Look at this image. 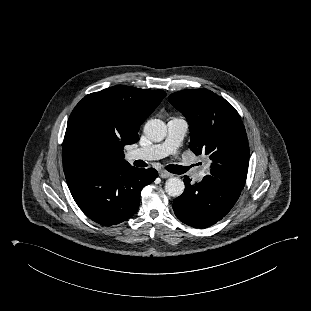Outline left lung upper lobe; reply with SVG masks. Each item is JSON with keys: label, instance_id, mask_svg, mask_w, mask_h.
<instances>
[{"label": "left lung upper lobe", "instance_id": "5c2ea615", "mask_svg": "<svg viewBox=\"0 0 311 311\" xmlns=\"http://www.w3.org/2000/svg\"><path fill=\"white\" fill-rule=\"evenodd\" d=\"M168 99L188 120L190 150L210 158V175L242 190L248 172L249 145L234 107L207 89L182 90Z\"/></svg>", "mask_w": 311, "mask_h": 311}]
</instances>
